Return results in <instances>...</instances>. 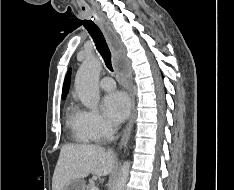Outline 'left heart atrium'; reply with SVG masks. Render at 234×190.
<instances>
[{
	"label": "left heart atrium",
	"instance_id": "left-heart-atrium-1",
	"mask_svg": "<svg viewBox=\"0 0 234 190\" xmlns=\"http://www.w3.org/2000/svg\"><path fill=\"white\" fill-rule=\"evenodd\" d=\"M103 107L107 117L113 122L125 120L130 110V99L122 91H114L105 96Z\"/></svg>",
	"mask_w": 234,
	"mask_h": 190
}]
</instances>
